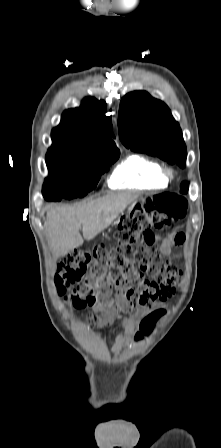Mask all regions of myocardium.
I'll return each mask as SVG.
<instances>
[{"instance_id": "myocardium-1", "label": "myocardium", "mask_w": 221, "mask_h": 448, "mask_svg": "<svg viewBox=\"0 0 221 448\" xmlns=\"http://www.w3.org/2000/svg\"><path fill=\"white\" fill-rule=\"evenodd\" d=\"M161 173H162L163 179L165 181H167V182L169 180H171L174 177V174H175L173 168H171L169 166H166V167L162 168V172Z\"/></svg>"}]
</instances>
